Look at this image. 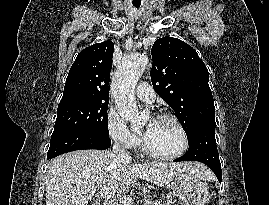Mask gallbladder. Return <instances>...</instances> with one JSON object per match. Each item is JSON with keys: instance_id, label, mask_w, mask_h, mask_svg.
<instances>
[{"instance_id": "obj_1", "label": "gallbladder", "mask_w": 269, "mask_h": 205, "mask_svg": "<svg viewBox=\"0 0 269 205\" xmlns=\"http://www.w3.org/2000/svg\"><path fill=\"white\" fill-rule=\"evenodd\" d=\"M91 205H98V204L95 202V203H93V204H91Z\"/></svg>"}]
</instances>
